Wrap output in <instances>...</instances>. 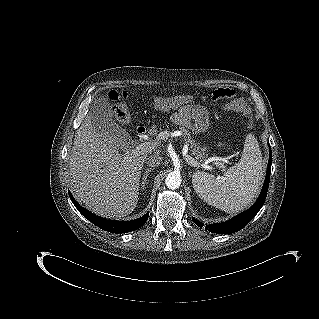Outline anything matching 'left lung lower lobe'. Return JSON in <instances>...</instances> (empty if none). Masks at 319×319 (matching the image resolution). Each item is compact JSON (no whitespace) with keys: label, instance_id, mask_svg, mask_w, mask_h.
<instances>
[{"label":"left lung lower lobe","instance_id":"1","mask_svg":"<svg viewBox=\"0 0 319 319\" xmlns=\"http://www.w3.org/2000/svg\"><path fill=\"white\" fill-rule=\"evenodd\" d=\"M270 146V145H269ZM271 163H272V153H271V148H270V155H269V161H268V167H267V173H266V178L265 182L261 191V194L255 204L249 208L248 210L244 211L241 214H238L234 218L230 219L227 222L223 223H217V224H211L207 225L205 227L206 230L213 232V233H218V234H230L239 231L242 229L246 224H248L258 213V211L261 209L263 206L266 196H267V191H268V186H269V181H270V171H271ZM194 223L202 228L204 226L203 223L200 221L196 220L195 218H192Z\"/></svg>","mask_w":319,"mask_h":319}]
</instances>
